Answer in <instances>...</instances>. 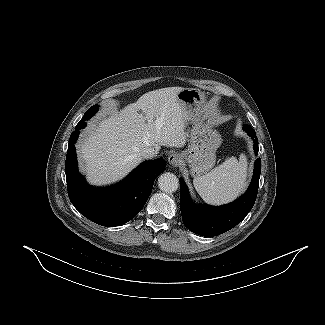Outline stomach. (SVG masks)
<instances>
[{
    "label": "stomach",
    "instance_id": "1",
    "mask_svg": "<svg viewBox=\"0 0 325 325\" xmlns=\"http://www.w3.org/2000/svg\"><path fill=\"white\" fill-rule=\"evenodd\" d=\"M178 101L189 116L192 128L188 132V147L181 152L192 176L209 171L215 164L216 150L222 142L221 135L207 122L206 96L196 88H184Z\"/></svg>",
    "mask_w": 325,
    "mask_h": 325
}]
</instances>
